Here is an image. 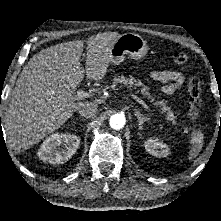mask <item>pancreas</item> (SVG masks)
<instances>
[{"label": "pancreas", "instance_id": "pancreas-1", "mask_svg": "<svg viewBox=\"0 0 221 221\" xmlns=\"http://www.w3.org/2000/svg\"><path fill=\"white\" fill-rule=\"evenodd\" d=\"M117 84H120L121 87H134V88H141V94L146 96L148 99H150L152 102L155 103V105L160 107V110L164 113L167 114L166 118L169 121H172L173 124L176 123V116H174L173 111L171 110V108L167 105V103L164 100L158 101L155 100V98L150 95L149 88L145 85H143V83L140 80H136L134 78H127L123 75L121 76H115L113 78V85L112 88H114Z\"/></svg>", "mask_w": 221, "mask_h": 221}]
</instances>
